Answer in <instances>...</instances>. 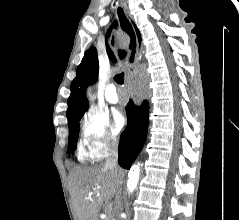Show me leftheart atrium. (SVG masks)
<instances>
[{"mask_svg": "<svg viewBox=\"0 0 239 220\" xmlns=\"http://www.w3.org/2000/svg\"><path fill=\"white\" fill-rule=\"evenodd\" d=\"M125 119L122 116V114L118 111H115L113 113V125H112V131L114 133H118L124 126Z\"/></svg>", "mask_w": 239, "mask_h": 220, "instance_id": "left-heart-atrium-1", "label": "left heart atrium"}]
</instances>
